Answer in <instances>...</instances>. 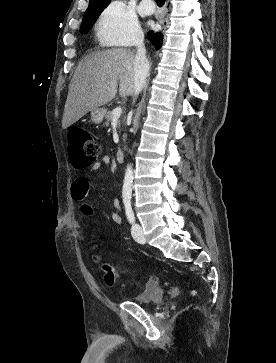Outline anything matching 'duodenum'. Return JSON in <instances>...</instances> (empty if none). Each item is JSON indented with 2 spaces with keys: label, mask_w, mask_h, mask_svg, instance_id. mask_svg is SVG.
Returning <instances> with one entry per match:
<instances>
[{
  "label": "duodenum",
  "mask_w": 276,
  "mask_h": 363,
  "mask_svg": "<svg viewBox=\"0 0 276 363\" xmlns=\"http://www.w3.org/2000/svg\"><path fill=\"white\" fill-rule=\"evenodd\" d=\"M125 158V152L123 149H118L116 151V159L118 162H123Z\"/></svg>",
  "instance_id": "obj_1"
}]
</instances>
